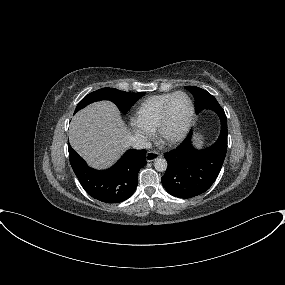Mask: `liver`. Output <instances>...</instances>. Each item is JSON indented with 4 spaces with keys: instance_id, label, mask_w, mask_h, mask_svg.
I'll use <instances>...</instances> for the list:
<instances>
[{
    "instance_id": "1",
    "label": "liver",
    "mask_w": 285,
    "mask_h": 285,
    "mask_svg": "<svg viewBox=\"0 0 285 285\" xmlns=\"http://www.w3.org/2000/svg\"><path fill=\"white\" fill-rule=\"evenodd\" d=\"M130 137L120 112L108 101L93 103L77 112L69 128L71 146L95 169L114 164L129 147Z\"/></svg>"
}]
</instances>
